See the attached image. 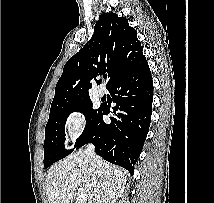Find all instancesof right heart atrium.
Masks as SVG:
<instances>
[{"label": "right heart atrium", "mask_w": 214, "mask_h": 203, "mask_svg": "<svg viewBox=\"0 0 214 203\" xmlns=\"http://www.w3.org/2000/svg\"><path fill=\"white\" fill-rule=\"evenodd\" d=\"M87 125L85 114L80 110L71 111L65 118L64 126L72 139L78 138Z\"/></svg>", "instance_id": "obj_1"}]
</instances>
